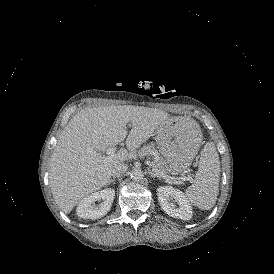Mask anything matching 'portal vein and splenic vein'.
<instances>
[{
	"label": "portal vein and splenic vein",
	"instance_id": "1",
	"mask_svg": "<svg viewBox=\"0 0 274 274\" xmlns=\"http://www.w3.org/2000/svg\"><path fill=\"white\" fill-rule=\"evenodd\" d=\"M116 150H117V147H116V146L109 147V148L107 149V154L114 153ZM156 173H157L160 177H165V175H164L162 172H159V171L156 170ZM187 180H188L189 182H192V178H190V177L187 178Z\"/></svg>",
	"mask_w": 274,
	"mask_h": 274
}]
</instances>
